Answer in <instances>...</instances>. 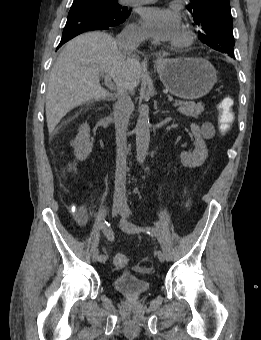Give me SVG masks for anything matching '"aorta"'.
<instances>
[{"instance_id":"1","label":"aorta","mask_w":261,"mask_h":340,"mask_svg":"<svg viewBox=\"0 0 261 340\" xmlns=\"http://www.w3.org/2000/svg\"><path fill=\"white\" fill-rule=\"evenodd\" d=\"M139 116L137 119L136 132V152L137 161L143 164L148 152L150 142V122H149V106L142 104L139 106Z\"/></svg>"}]
</instances>
